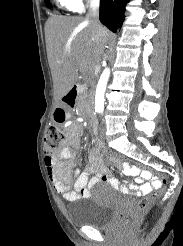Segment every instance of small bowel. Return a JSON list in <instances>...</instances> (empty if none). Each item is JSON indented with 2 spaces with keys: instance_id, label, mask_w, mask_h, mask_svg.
I'll return each mask as SVG.
<instances>
[{
  "instance_id": "small-bowel-1",
  "label": "small bowel",
  "mask_w": 183,
  "mask_h": 246,
  "mask_svg": "<svg viewBox=\"0 0 183 246\" xmlns=\"http://www.w3.org/2000/svg\"><path fill=\"white\" fill-rule=\"evenodd\" d=\"M93 132H96V127H93ZM67 141L72 147H63L58 157L51 155H46L45 157L48 175L56 191L62 194L66 200L75 201L88 197L91 187L100 181L110 184L124 194H130L136 191L147 194L153 187L157 186L158 174H151L150 170H142L141 167H131L127 163L123 165V172L127 175H131L133 183L142 184L140 186L124 184L111 177L103 164L94 156L89 167L85 171L79 172V169L74 168L69 162L76 154L75 148H78L80 145L79 132L68 130ZM91 172H96V176L91 177ZM75 175L77 176L73 182V189L69 190L67 184L71 183V179ZM145 179H147V183H145Z\"/></svg>"
}]
</instances>
